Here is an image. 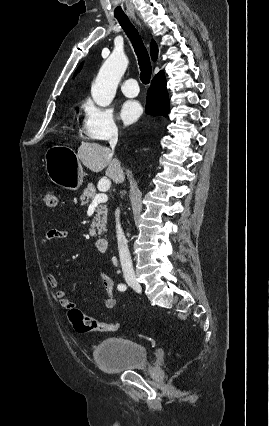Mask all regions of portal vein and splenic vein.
Returning <instances> with one entry per match:
<instances>
[{
  "instance_id": "18ae733b",
  "label": "portal vein and splenic vein",
  "mask_w": 269,
  "mask_h": 426,
  "mask_svg": "<svg viewBox=\"0 0 269 426\" xmlns=\"http://www.w3.org/2000/svg\"><path fill=\"white\" fill-rule=\"evenodd\" d=\"M109 186H107L108 188ZM105 188L104 191L107 189ZM108 200V196L105 193H99L95 196V198L92 200L91 205H97L99 203H105Z\"/></svg>"
}]
</instances>
